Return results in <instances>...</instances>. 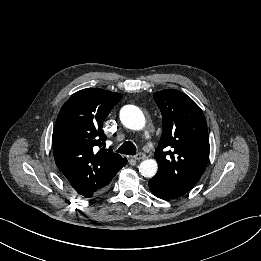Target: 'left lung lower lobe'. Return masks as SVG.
Segmentation results:
<instances>
[{"label":"left lung lower lobe","mask_w":261,"mask_h":261,"mask_svg":"<svg viewBox=\"0 0 261 261\" xmlns=\"http://www.w3.org/2000/svg\"><path fill=\"white\" fill-rule=\"evenodd\" d=\"M149 189L153 195L161 199H176L181 197L180 195L169 190L160 180L153 177L149 180Z\"/></svg>","instance_id":"0a47b994"}]
</instances>
